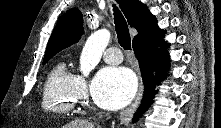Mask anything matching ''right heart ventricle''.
<instances>
[{"instance_id": "e07e8e85", "label": "right heart ventricle", "mask_w": 221, "mask_h": 128, "mask_svg": "<svg viewBox=\"0 0 221 128\" xmlns=\"http://www.w3.org/2000/svg\"><path fill=\"white\" fill-rule=\"evenodd\" d=\"M75 77L65 60H59L52 66L43 90L42 107L45 112L66 115L74 110L78 101Z\"/></svg>"}]
</instances>
